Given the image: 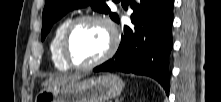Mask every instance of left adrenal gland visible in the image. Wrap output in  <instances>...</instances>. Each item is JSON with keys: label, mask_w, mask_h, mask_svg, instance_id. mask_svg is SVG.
<instances>
[{"label": "left adrenal gland", "mask_w": 221, "mask_h": 102, "mask_svg": "<svg viewBox=\"0 0 221 102\" xmlns=\"http://www.w3.org/2000/svg\"><path fill=\"white\" fill-rule=\"evenodd\" d=\"M116 102H122V99H120V100H116Z\"/></svg>", "instance_id": "a2214340"}]
</instances>
